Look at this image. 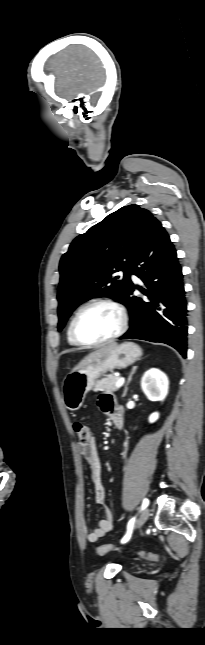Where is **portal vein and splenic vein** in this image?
I'll use <instances>...</instances> for the list:
<instances>
[{"label":"portal vein and splenic vein","mask_w":205,"mask_h":645,"mask_svg":"<svg viewBox=\"0 0 205 645\" xmlns=\"http://www.w3.org/2000/svg\"><path fill=\"white\" fill-rule=\"evenodd\" d=\"M124 382H125V378L122 377L117 381L116 386L119 388L124 384Z\"/></svg>","instance_id":"1"}]
</instances>
